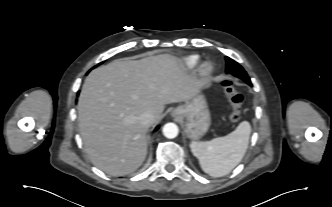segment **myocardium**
<instances>
[{
  "mask_svg": "<svg viewBox=\"0 0 332 207\" xmlns=\"http://www.w3.org/2000/svg\"><path fill=\"white\" fill-rule=\"evenodd\" d=\"M212 70V64L210 62H205L202 64L201 66V71L204 73V74H208L210 73Z\"/></svg>",
  "mask_w": 332,
  "mask_h": 207,
  "instance_id": "f54148a6",
  "label": "myocardium"
}]
</instances>
